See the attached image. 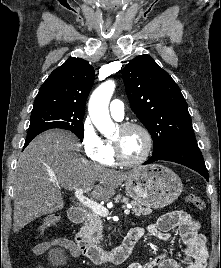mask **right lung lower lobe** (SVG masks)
I'll return each instance as SVG.
<instances>
[{"instance_id": "right-lung-lower-lobe-1", "label": "right lung lower lobe", "mask_w": 221, "mask_h": 268, "mask_svg": "<svg viewBox=\"0 0 221 268\" xmlns=\"http://www.w3.org/2000/svg\"><path fill=\"white\" fill-rule=\"evenodd\" d=\"M35 136H27L24 148L30 143V141L34 138Z\"/></svg>"}]
</instances>
